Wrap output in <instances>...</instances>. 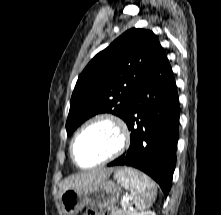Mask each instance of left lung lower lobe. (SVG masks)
Instances as JSON below:
<instances>
[{
	"mask_svg": "<svg viewBox=\"0 0 221 215\" xmlns=\"http://www.w3.org/2000/svg\"><path fill=\"white\" fill-rule=\"evenodd\" d=\"M179 117L176 83L162 48L127 106L124 121L131 131L129 150L107 166L143 171L167 197L176 165Z\"/></svg>",
	"mask_w": 221,
	"mask_h": 215,
	"instance_id": "1",
	"label": "left lung lower lobe"
}]
</instances>
